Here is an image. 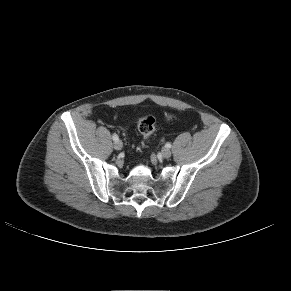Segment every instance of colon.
Listing matches in <instances>:
<instances>
[{
  "label": "colon",
  "instance_id": "5ec220e1",
  "mask_svg": "<svg viewBox=\"0 0 291 291\" xmlns=\"http://www.w3.org/2000/svg\"><path fill=\"white\" fill-rule=\"evenodd\" d=\"M167 120H173L174 115H166ZM138 129L145 140H149L150 136L155 131V119L151 116L144 117L140 120L138 124Z\"/></svg>",
  "mask_w": 291,
  "mask_h": 291
}]
</instances>
